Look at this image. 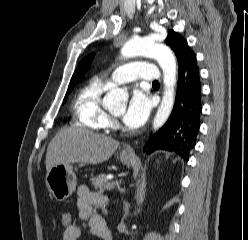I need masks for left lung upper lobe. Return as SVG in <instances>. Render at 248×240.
I'll use <instances>...</instances> for the list:
<instances>
[{"mask_svg":"<svg viewBox=\"0 0 248 240\" xmlns=\"http://www.w3.org/2000/svg\"><path fill=\"white\" fill-rule=\"evenodd\" d=\"M165 43L175 53L179 69L185 63V61L192 54H194V52L188 46L186 39L174 30H168V35L165 39Z\"/></svg>","mask_w":248,"mask_h":240,"instance_id":"left-lung-upper-lobe-1","label":"left lung upper lobe"}]
</instances>
